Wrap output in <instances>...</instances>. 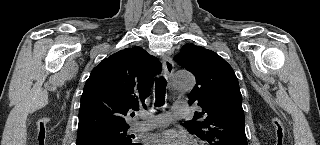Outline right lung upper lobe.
Masks as SVG:
<instances>
[{"label": "right lung upper lobe", "mask_w": 320, "mask_h": 145, "mask_svg": "<svg viewBox=\"0 0 320 145\" xmlns=\"http://www.w3.org/2000/svg\"><path fill=\"white\" fill-rule=\"evenodd\" d=\"M161 71L159 60L135 46L101 61L83 89L78 136L103 128L129 127V109L145 106L154 76Z\"/></svg>", "instance_id": "right-lung-upper-lobe-1"}]
</instances>
